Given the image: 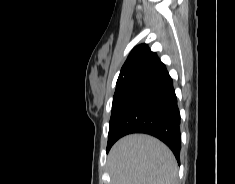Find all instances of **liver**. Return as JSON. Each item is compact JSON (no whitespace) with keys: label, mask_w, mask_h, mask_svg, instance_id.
<instances>
[{"label":"liver","mask_w":235,"mask_h":184,"mask_svg":"<svg viewBox=\"0 0 235 184\" xmlns=\"http://www.w3.org/2000/svg\"><path fill=\"white\" fill-rule=\"evenodd\" d=\"M107 166L111 184H178V166L171 150L146 134L118 140Z\"/></svg>","instance_id":"obj_1"}]
</instances>
